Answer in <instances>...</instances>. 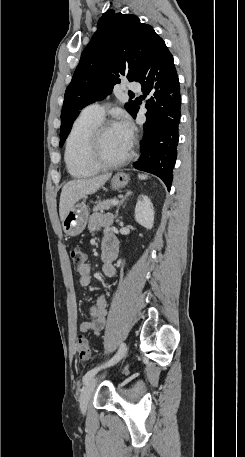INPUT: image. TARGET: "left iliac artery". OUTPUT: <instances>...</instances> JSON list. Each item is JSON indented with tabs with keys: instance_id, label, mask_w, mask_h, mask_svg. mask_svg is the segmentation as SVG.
<instances>
[{
	"instance_id": "left-iliac-artery-1",
	"label": "left iliac artery",
	"mask_w": 245,
	"mask_h": 457,
	"mask_svg": "<svg viewBox=\"0 0 245 457\" xmlns=\"http://www.w3.org/2000/svg\"><path fill=\"white\" fill-rule=\"evenodd\" d=\"M126 351H127L126 344L122 343L118 352L109 361H107L106 363H104L98 367H95V368H92L91 370H89L84 375L83 382L87 383L99 370H101L102 368H105L107 366L113 365L115 362L119 361L122 358V356L126 353Z\"/></svg>"
}]
</instances>
